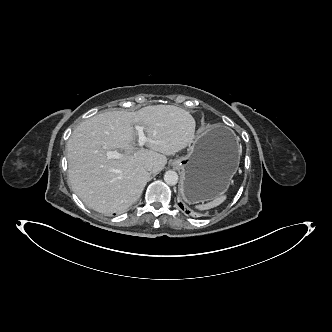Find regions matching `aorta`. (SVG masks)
Returning <instances> with one entry per match:
<instances>
[{
	"label": "aorta",
	"mask_w": 332,
	"mask_h": 332,
	"mask_svg": "<svg viewBox=\"0 0 332 332\" xmlns=\"http://www.w3.org/2000/svg\"><path fill=\"white\" fill-rule=\"evenodd\" d=\"M164 181L168 185H176L178 182V174L172 170L166 171L164 174Z\"/></svg>",
	"instance_id": "aorta-1"
}]
</instances>
